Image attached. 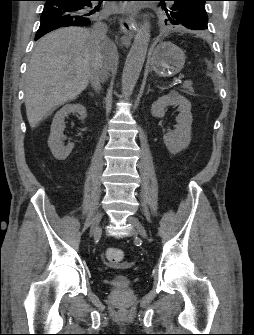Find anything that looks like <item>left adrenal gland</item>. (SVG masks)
<instances>
[{
  "instance_id": "1",
  "label": "left adrenal gland",
  "mask_w": 254,
  "mask_h": 335,
  "mask_svg": "<svg viewBox=\"0 0 254 335\" xmlns=\"http://www.w3.org/2000/svg\"><path fill=\"white\" fill-rule=\"evenodd\" d=\"M150 91H151V89H150V85H148V90H147V93H146V94H149Z\"/></svg>"
}]
</instances>
